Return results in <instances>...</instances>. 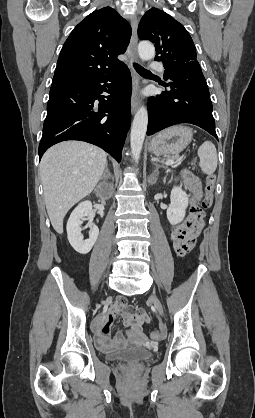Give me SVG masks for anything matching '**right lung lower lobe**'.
Masks as SVG:
<instances>
[{"label": "right lung lower lobe", "instance_id": "obj_1", "mask_svg": "<svg viewBox=\"0 0 255 418\" xmlns=\"http://www.w3.org/2000/svg\"><path fill=\"white\" fill-rule=\"evenodd\" d=\"M103 92L110 96H102ZM131 92V75L126 65L109 75L53 83L39 159L58 142L80 140L101 147L120 162L131 122Z\"/></svg>", "mask_w": 255, "mask_h": 418}]
</instances>
